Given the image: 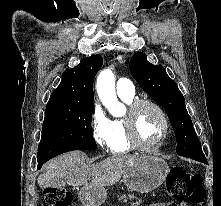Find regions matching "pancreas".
Segmentation results:
<instances>
[{
  "label": "pancreas",
  "mask_w": 221,
  "mask_h": 206,
  "mask_svg": "<svg viewBox=\"0 0 221 206\" xmlns=\"http://www.w3.org/2000/svg\"><path fill=\"white\" fill-rule=\"evenodd\" d=\"M133 198H136L134 195H122L119 200H123L125 203L131 201ZM141 203V200L138 199L135 203H132L131 206H138Z\"/></svg>",
  "instance_id": "obj_1"
}]
</instances>
